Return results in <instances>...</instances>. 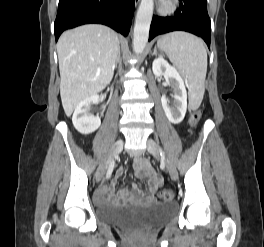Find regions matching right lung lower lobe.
Instances as JSON below:
<instances>
[{
    "mask_svg": "<svg viewBox=\"0 0 264 247\" xmlns=\"http://www.w3.org/2000/svg\"><path fill=\"white\" fill-rule=\"evenodd\" d=\"M133 11L134 0H59L55 39L64 30L89 23L107 25L126 36Z\"/></svg>",
    "mask_w": 264,
    "mask_h": 247,
    "instance_id": "right-lung-lower-lobe-1",
    "label": "right lung lower lobe"
}]
</instances>
